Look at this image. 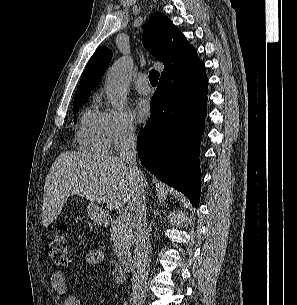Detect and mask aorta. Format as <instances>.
I'll use <instances>...</instances> for the list:
<instances>
[{"instance_id": "aorta-1", "label": "aorta", "mask_w": 297, "mask_h": 305, "mask_svg": "<svg viewBox=\"0 0 297 305\" xmlns=\"http://www.w3.org/2000/svg\"><path fill=\"white\" fill-rule=\"evenodd\" d=\"M131 69V60L122 57L112 65L108 72L106 94L112 108L116 110H122L124 107L129 92Z\"/></svg>"}]
</instances>
